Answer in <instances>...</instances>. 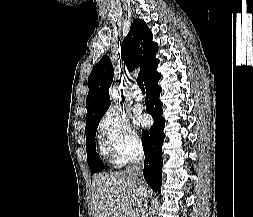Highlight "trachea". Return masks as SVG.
<instances>
[{
  "instance_id": "trachea-1",
  "label": "trachea",
  "mask_w": 253,
  "mask_h": 217,
  "mask_svg": "<svg viewBox=\"0 0 253 217\" xmlns=\"http://www.w3.org/2000/svg\"><path fill=\"white\" fill-rule=\"evenodd\" d=\"M137 84L139 86V88L143 91L145 90V87H144V84H143V81L140 77L137 78Z\"/></svg>"
}]
</instances>
